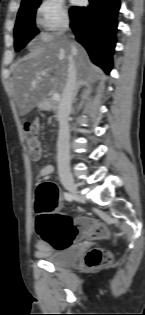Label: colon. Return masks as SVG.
<instances>
[{"label": "colon", "instance_id": "obj_1", "mask_svg": "<svg viewBox=\"0 0 145 315\" xmlns=\"http://www.w3.org/2000/svg\"><path fill=\"white\" fill-rule=\"evenodd\" d=\"M23 132L30 153L37 157L40 154V143L35 126L31 123L23 125ZM59 191L53 182H43L36 189L35 210L37 213L36 230L39 236L56 249L70 246L82 238L99 239L108 235L106 227L88 217L72 219L57 212ZM111 257L101 249H92L85 257L90 268L109 263Z\"/></svg>", "mask_w": 145, "mask_h": 315}]
</instances>
